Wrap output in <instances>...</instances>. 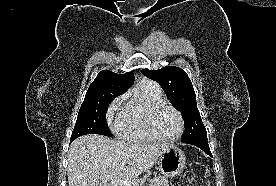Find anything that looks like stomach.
I'll list each match as a JSON object with an SVG mask.
<instances>
[{"label": "stomach", "mask_w": 276, "mask_h": 186, "mask_svg": "<svg viewBox=\"0 0 276 186\" xmlns=\"http://www.w3.org/2000/svg\"><path fill=\"white\" fill-rule=\"evenodd\" d=\"M158 168L166 177H175L184 170L186 158L181 149L171 146L158 159Z\"/></svg>", "instance_id": "1"}]
</instances>
